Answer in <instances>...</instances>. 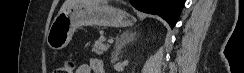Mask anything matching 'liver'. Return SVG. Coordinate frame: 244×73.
Listing matches in <instances>:
<instances>
[{
	"label": "liver",
	"mask_w": 244,
	"mask_h": 73,
	"mask_svg": "<svg viewBox=\"0 0 244 73\" xmlns=\"http://www.w3.org/2000/svg\"><path fill=\"white\" fill-rule=\"evenodd\" d=\"M86 3V4H98L99 2L96 0H65L64 4L62 5L59 12L65 9L67 6L71 5L72 3Z\"/></svg>",
	"instance_id": "liver-1"
}]
</instances>
